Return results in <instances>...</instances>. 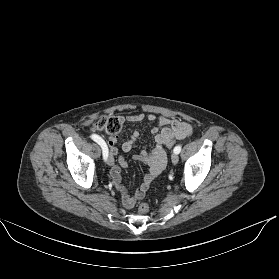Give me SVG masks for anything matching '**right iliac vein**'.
Instances as JSON below:
<instances>
[{"label": "right iliac vein", "instance_id": "obj_1", "mask_svg": "<svg viewBox=\"0 0 279 279\" xmlns=\"http://www.w3.org/2000/svg\"><path fill=\"white\" fill-rule=\"evenodd\" d=\"M106 161L109 165H113L114 164V158L111 154H109L106 158Z\"/></svg>", "mask_w": 279, "mask_h": 279}]
</instances>
